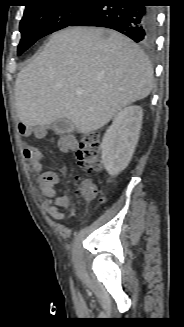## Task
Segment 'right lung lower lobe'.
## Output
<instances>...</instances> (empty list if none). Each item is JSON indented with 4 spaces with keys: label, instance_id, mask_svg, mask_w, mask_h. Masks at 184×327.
Masks as SVG:
<instances>
[{
    "label": "right lung lower lobe",
    "instance_id": "98d812e1",
    "mask_svg": "<svg viewBox=\"0 0 184 327\" xmlns=\"http://www.w3.org/2000/svg\"><path fill=\"white\" fill-rule=\"evenodd\" d=\"M97 0L94 5L71 26H98L111 28L130 37L135 42L151 45L156 34L154 9L142 6L144 0Z\"/></svg>",
    "mask_w": 184,
    "mask_h": 327
}]
</instances>
